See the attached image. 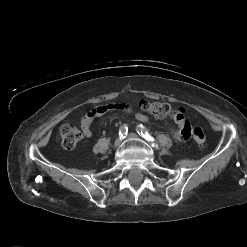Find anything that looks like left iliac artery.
<instances>
[{"label": "left iliac artery", "mask_w": 247, "mask_h": 247, "mask_svg": "<svg viewBox=\"0 0 247 247\" xmlns=\"http://www.w3.org/2000/svg\"><path fill=\"white\" fill-rule=\"evenodd\" d=\"M136 131L139 135H141L147 141L152 142V147H155L158 149V144L156 142H154V138L149 134L146 127H144L142 124H140L137 126Z\"/></svg>", "instance_id": "obj_1"}]
</instances>
